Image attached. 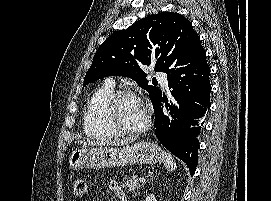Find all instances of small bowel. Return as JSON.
I'll return each mask as SVG.
<instances>
[{
  "label": "small bowel",
  "mask_w": 271,
  "mask_h": 201,
  "mask_svg": "<svg viewBox=\"0 0 271 201\" xmlns=\"http://www.w3.org/2000/svg\"><path fill=\"white\" fill-rule=\"evenodd\" d=\"M109 188L110 191L119 198L120 195H124L123 189L120 185V183L118 182V180L113 179L110 183H109Z\"/></svg>",
  "instance_id": "1"
}]
</instances>
